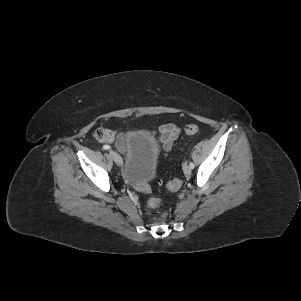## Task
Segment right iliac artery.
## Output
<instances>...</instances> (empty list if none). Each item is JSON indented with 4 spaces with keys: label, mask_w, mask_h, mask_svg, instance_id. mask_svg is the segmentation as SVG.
Returning a JSON list of instances; mask_svg holds the SVG:
<instances>
[{
    "label": "right iliac artery",
    "mask_w": 301,
    "mask_h": 301,
    "mask_svg": "<svg viewBox=\"0 0 301 301\" xmlns=\"http://www.w3.org/2000/svg\"><path fill=\"white\" fill-rule=\"evenodd\" d=\"M103 149H104V150H108V149H110V146H109V145H104V146H103Z\"/></svg>",
    "instance_id": "right-iliac-artery-1"
}]
</instances>
